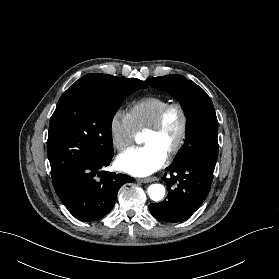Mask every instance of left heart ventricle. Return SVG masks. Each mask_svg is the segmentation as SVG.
<instances>
[{
  "label": "left heart ventricle",
  "instance_id": "left-heart-ventricle-1",
  "mask_svg": "<svg viewBox=\"0 0 279 279\" xmlns=\"http://www.w3.org/2000/svg\"><path fill=\"white\" fill-rule=\"evenodd\" d=\"M181 130V116L174 109L169 112L161 130L154 133H145L143 142L152 145L168 155L170 150L176 144Z\"/></svg>",
  "mask_w": 279,
  "mask_h": 279
}]
</instances>
